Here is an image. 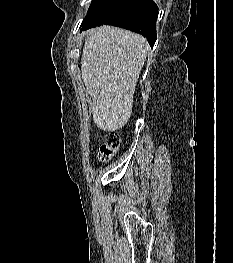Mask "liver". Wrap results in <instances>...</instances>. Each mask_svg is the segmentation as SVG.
I'll list each match as a JSON object with an SVG mask.
<instances>
[{"label": "liver", "instance_id": "obj_1", "mask_svg": "<svg viewBox=\"0 0 233 263\" xmlns=\"http://www.w3.org/2000/svg\"><path fill=\"white\" fill-rule=\"evenodd\" d=\"M84 35L81 75L92 97L93 121L101 130H118L131 116L148 42L139 34L106 25Z\"/></svg>", "mask_w": 233, "mask_h": 263}]
</instances>
